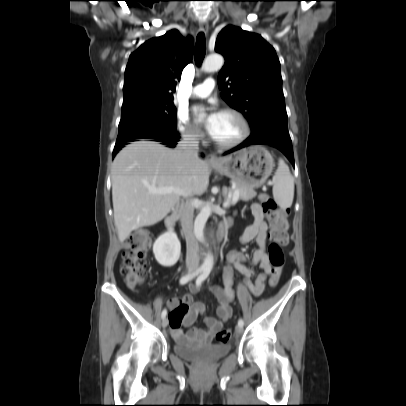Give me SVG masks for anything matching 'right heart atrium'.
I'll return each mask as SVG.
<instances>
[{
    "instance_id": "1",
    "label": "right heart atrium",
    "mask_w": 406,
    "mask_h": 406,
    "mask_svg": "<svg viewBox=\"0 0 406 406\" xmlns=\"http://www.w3.org/2000/svg\"><path fill=\"white\" fill-rule=\"evenodd\" d=\"M177 130L184 140L198 142L202 139V134L198 132L188 121L187 117L180 114L177 118Z\"/></svg>"
}]
</instances>
